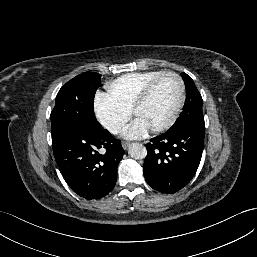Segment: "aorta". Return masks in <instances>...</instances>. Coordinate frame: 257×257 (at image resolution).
<instances>
[{"label":"aorta","instance_id":"aorta-1","mask_svg":"<svg viewBox=\"0 0 257 257\" xmlns=\"http://www.w3.org/2000/svg\"><path fill=\"white\" fill-rule=\"evenodd\" d=\"M129 156L134 159H143L147 155V150L144 145L140 143H133L129 147Z\"/></svg>","mask_w":257,"mask_h":257}]
</instances>
